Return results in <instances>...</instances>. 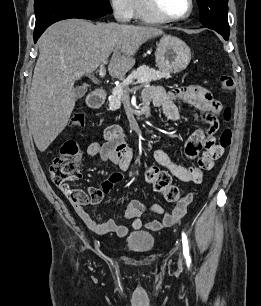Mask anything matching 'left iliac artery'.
<instances>
[{
	"mask_svg": "<svg viewBox=\"0 0 261 306\" xmlns=\"http://www.w3.org/2000/svg\"><path fill=\"white\" fill-rule=\"evenodd\" d=\"M182 244H183V254L187 261H190V255H189V244L187 236L184 232H182Z\"/></svg>",
	"mask_w": 261,
	"mask_h": 306,
	"instance_id": "obj_1",
	"label": "left iliac artery"
}]
</instances>
